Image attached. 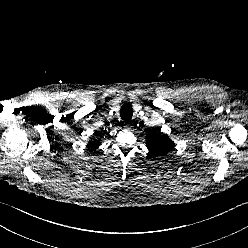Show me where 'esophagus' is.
Wrapping results in <instances>:
<instances>
[{
  "label": "esophagus",
  "instance_id": "esophagus-1",
  "mask_svg": "<svg viewBox=\"0 0 248 248\" xmlns=\"http://www.w3.org/2000/svg\"><path fill=\"white\" fill-rule=\"evenodd\" d=\"M124 127H125V129L130 130L132 126H131V123L126 122V123L124 124Z\"/></svg>",
  "mask_w": 248,
  "mask_h": 248
}]
</instances>
